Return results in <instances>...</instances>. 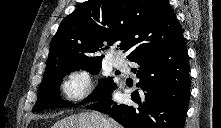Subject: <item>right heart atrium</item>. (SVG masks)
Instances as JSON below:
<instances>
[{
    "label": "right heart atrium",
    "instance_id": "1",
    "mask_svg": "<svg viewBox=\"0 0 221 128\" xmlns=\"http://www.w3.org/2000/svg\"><path fill=\"white\" fill-rule=\"evenodd\" d=\"M90 91V75L86 70H71L62 85V93L69 100H79Z\"/></svg>",
    "mask_w": 221,
    "mask_h": 128
}]
</instances>
